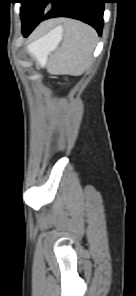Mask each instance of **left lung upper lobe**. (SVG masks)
I'll list each match as a JSON object with an SVG mask.
<instances>
[{
	"label": "left lung upper lobe",
	"instance_id": "obj_1",
	"mask_svg": "<svg viewBox=\"0 0 136 296\" xmlns=\"http://www.w3.org/2000/svg\"><path fill=\"white\" fill-rule=\"evenodd\" d=\"M53 0H23L21 8L22 29L38 23L44 16V8Z\"/></svg>",
	"mask_w": 136,
	"mask_h": 296
}]
</instances>
